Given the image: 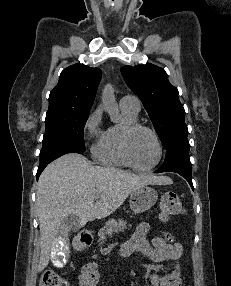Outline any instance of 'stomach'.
I'll return each mask as SVG.
<instances>
[{
    "mask_svg": "<svg viewBox=\"0 0 231 286\" xmlns=\"http://www.w3.org/2000/svg\"><path fill=\"white\" fill-rule=\"evenodd\" d=\"M157 200V192L153 188L146 185L138 188L130 194L129 204L131 210L135 214H138L149 210L155 205Z\"/></svg>",
    "mask_w": 231,
    "mask_h": 286,
    "instance_id": "1",
    "label": "stomach"
}]
</instances>
